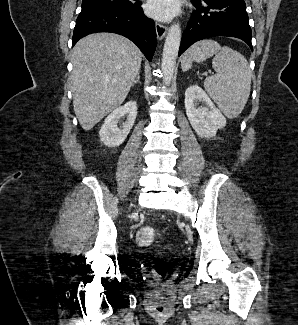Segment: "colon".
<instances>
[{
	"label": "colon",
	"mask_w": 298,
	"mask_h": 325,
	"mask_svg": "<svg viewBox=\"0 0 298 325\" xmlns=\"http://www.w3.org/2000/svg\"><path fill=\"white\" fill-rule=\"evenodd\" d=\"M158 238V233L152 227H143L136 234V243L139 246H150L153 245ZM167 275V269L165 266H160L156 272L155 277L161 279Z\"/></svg>",
	"instance_id": "colon-1"
}]
</instances>
